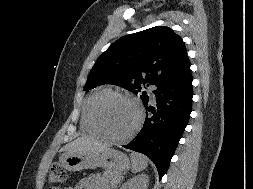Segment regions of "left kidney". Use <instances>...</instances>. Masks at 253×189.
<instances>
[{"instance_id": "left-kidney-1", "label": "left kidney", "mask_w": 253, "mask_h": 189, "mask_svg": "<svg viewBox=\"0 0 253 189\" xmlns=\"http://www.w3.org/2000/svg\"><path fill=\"white\" fill-rule=\"evenodd\" d=\"M148 182V176L146 174H141L128 180L121 189H147Z\"/></svg>"}]
</instances>
